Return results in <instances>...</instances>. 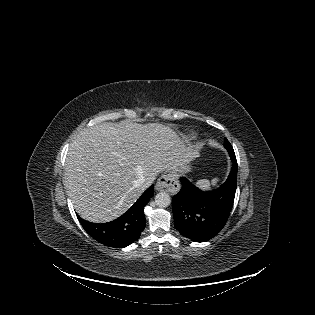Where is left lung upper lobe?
Returning <instances> with one entry per match:
<instances>
[{
  "label": "left lung upper lobe",
  "instance_id": "1",
  "mask_svg": "<svg viewBox=\"0 0 315 315\" xmlns=\"http://www.w3.org/2000/svg\"><path fill=\"white\" fill-rule=\"evenodd\" d=\"M225 139H226V138H225ZM225 139H224V146H225V148L227 149V151H228L230 157L232 158V157L235 155L234 150H233V147H232L231 144L228 142V140H225Z\"/></svg>",
  "mask_w": 315,
  "mask_h": 315
}]
</instances>
